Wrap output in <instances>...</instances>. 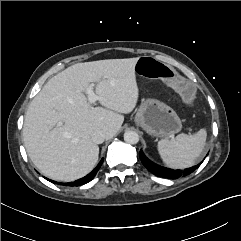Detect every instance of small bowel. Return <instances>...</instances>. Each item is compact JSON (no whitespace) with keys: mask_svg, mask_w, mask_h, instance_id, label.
I'll return each mask as SVG.
<instances>
[{"mask_svg":"<svg viewBox=\"0 0 241 241\" xmlns=\"http://www.w3.org/2000/svg\"><path fill=\"white\" fill-rule=\"evenodd\" d=\"M144 57H150V56H144ZM151 58H154V57H151ZM135 72H136V65H135V68H134ZM137 73V72H136ZM138 74V73H137ZM139 75V74H138Z\"/></svg>","mask_w":241,"mask_h":241,"instance_id":"1","label":"small bowel"}]
</instances>
